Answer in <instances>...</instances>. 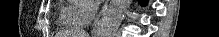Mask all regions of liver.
Instances as JSON below:
<instances>
[{"mask_svg":"<svg viewBox=\"0 0 219 37\" xmlns=\"http://www.w3.org/2000/svg\"><path fill=\"white\" fill-rule=\"evenodd\" d=\"M76 35H84V36H78V37H86L85 35V33H82V32H80V33H77Z\"/></svg>","mask_w":219,"mask_h":37,"instance_id":"liver-1","label":"liver"}]
</instances>
